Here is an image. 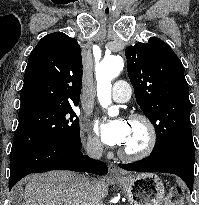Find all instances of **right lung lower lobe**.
Returning a JSON list of instances; mask_svg holds the SVG:
<instances>
[{
	"label": "right lung lower lobe",
	"mask_w": 199,
	"mask_h": 205,
	"mask_svg": "<svg viewBox=\"0 0 199 205\" xmlns=\"http://www.w3.org/2000/svg\"><path fill=\"white\" fill-rule=\"evenodd\" d=\"M65 143H50L34 147L10 157L9 190L24 176L50 170H72L103 175L108 172L105 163L89 158Z\"/></svg>",
	"instance_id": "1"
}]
</instances>
